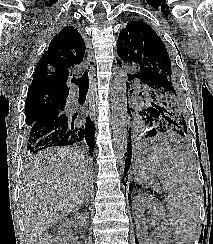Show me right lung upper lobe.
<instances>
[{"label":"right lung upper lobe","mask_w":213,"mask_h":244,"mask_svg":"<svg viewBox=\"0 0 213 244\" xmlns=\"http://www.w3.org/2000/svg\"><path fill=\"white\" fill-rule=\"evenodd\" d=\"M85 42L72 26L64 27L50 42L36 66L27 97L53 94L67 97L68 77L83 61Z\"/></svg>","instance_id":"1"}]
</instances>
